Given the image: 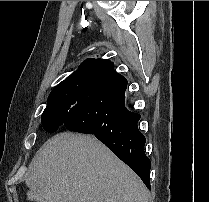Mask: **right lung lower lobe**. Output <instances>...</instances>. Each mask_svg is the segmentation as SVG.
I'll list each match as a JSON object with an SVG mask.
<instances>
[{
  "mask_svg": "<svg viewBox=\"0 0 209 202\" xmlns=\"http://www.w3.org/2000/svg\"><path fill=\"white\" fill-rule=\"evenodd\" d=\"M126 88L127 80L114 70L91 79L80 92L77 111L63 127L94 135L151 189V161L145 155V137L137 126L140 115L125 108Z\"/></svg>",
  "mask_w": 209,
  "mask_h": 202,
  "instance_id": "98d812e1",
  "label": "right lung lower lobe"
}]
</instances>
